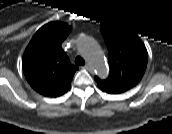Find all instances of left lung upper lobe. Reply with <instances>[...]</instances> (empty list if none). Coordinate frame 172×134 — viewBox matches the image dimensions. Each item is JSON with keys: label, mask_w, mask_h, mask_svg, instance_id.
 <instances>
[{"label": "left lung upper lobe", "mask_w": 172, "mask_h": 134, "mask_svg": "<svg viewBox=\"0 0 172 134\" xmlns=\"http://www.w3.org/2000/svg\"><path fill=\"white\" fill-rule=\"evenodd\" d=\"M101 32L108 48L109 76L98 87L109 94H120L141 80L148 55L145 46L130 31L118 26H102Z\"/></svg>", "instance_id": "left-lung-upper-lobe-1"}]
</instances>
